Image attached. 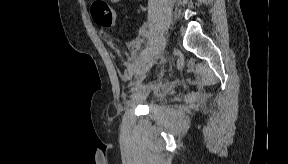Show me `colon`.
I'll return each instance as SVG.
<instances>
[{"label": "colon", "mask_w": 288, "mask_h": 164, "mask_svg": "<svg viewBox=\"0 0 288 164\" xmlns=\"http://www.w3.org/2000/svg\"><path fill=\"white\" fill-rule=\"evenodd\" d=\"M93 17L95 22L103 28L114 27L117 24L116 10L103 2L94 4Z\"/></svg>", "instance_id": "5ec220e1"}]
</instances>
